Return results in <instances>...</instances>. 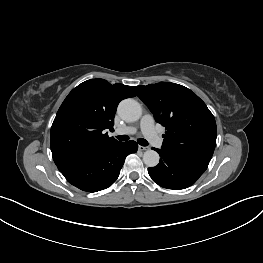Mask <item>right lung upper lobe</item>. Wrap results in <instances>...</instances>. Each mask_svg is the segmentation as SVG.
<instances>
[{
    "mask_svg": "<svg viewBox=\"0 0 263 263\" xmlns=\"http://www.w3.org/2000/svg\"><path fill=\"white\" fill-rule=\"evenodd\" d=\"M132 87L104 79L87 80L74 88L60 106L50 132L55 164L85 157L117 143L109 137L119 102L134 97Z\"/></svg>",
    "mask_w": 263,
    "mask_h": 263,
    "instance_id": "right-lung-upper-lobe-1",
    "label": "right lung upper lobe"
}]
</instances>
